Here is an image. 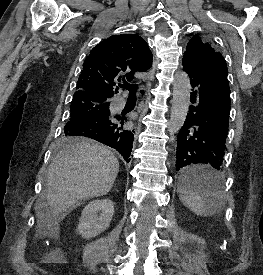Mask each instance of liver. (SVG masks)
I'll use <instances>...</instances> for the list:
<instances>
[{
	"label": "liver",
	"mask_w": 263,
	"mask_h": 275,
	"mask_svg": "<svg viewBox=\"0 0 263 275\" xmlns=\"http://www.w3.org/2000/svg\"><path fill=\"white\" fill-rule=\"evenodd\" d=\"M119 172V162L106 147L79 141L62 150L47 175L45 202L35 206L38 227H54L82 200L106 195Z\"/></svg>",
	"instance_id": "1"
}]
</instances>
